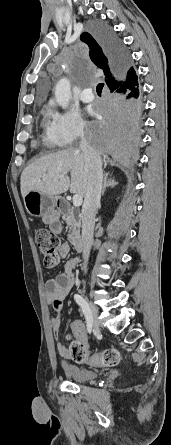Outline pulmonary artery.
Listing matches in <instances>:
<instances>
[{
	"instance_id": "pulmonary-artery-1",
	"label": "pulmonary artery",
	"mask_w": 171,
	"mask_h": 445,
	"mask_svg": "<svg viewBox=\"0 0 171 445\" xmlns=\"http://www.w3.org/2000/svg\"><path fill=\"white\" fill-rule=\"evenodd\" d=\"M80 99L85 103H89V102L93 101L94 95L92 94L91 89H89V88L84 89L80 95Z\"/></svg>"
}]
</instances>
